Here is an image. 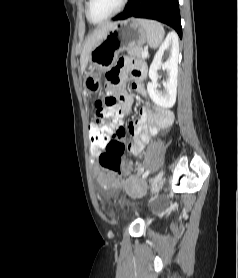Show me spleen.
<instances>
[{"label": "spleen", "instance_id": "spleen-1", "mask_svg": "<svg viewBox=\"0 0 238 278\" xmlns=\"http://www.w3.org/2000/svg\"><path fill=\"white\" fill-rule=\"evenodd\" d=\"M139 21L147 31L149 46L152 48L158 47L162 43L165 34L163 26L153 20L140 19Z\"/></svg>", "mask_w": 238, "mask_h": 278}]
</instances>
